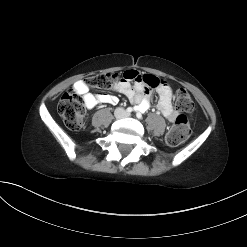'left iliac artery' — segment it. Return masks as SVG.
I'll return each mask as SVG.
<instances>
[{
    "label": "left iliac artery",
    "instance_id": "obj_1",
    "mask_svg": "<svg viewBox=\"0 0 247 247\" xmlns=\"http://www.w3.org/2000/svg\"><path fill=\"white\" fill-rule=\"evenodd\" d=\"M137 117L140 119L142 117L141 113L140 112H137Z\"/></svg>",
    "mask_w": 247,
    "mask_h": 247
}]
</instances>
